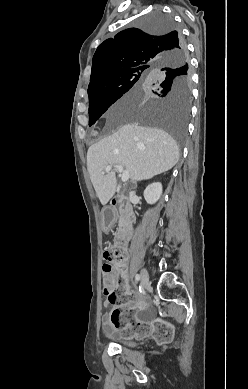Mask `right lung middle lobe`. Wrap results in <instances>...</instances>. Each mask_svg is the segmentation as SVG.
Wrapping results in <instances>:
<instances>
[{
    "instance_id": "1",
    "label": "right lung middle lobe",
    "mask_w": 248,
    "mask_h": 389,
    "mask_svg": "<svg viewBox=\"0 0 248 389\" xmlns=\"http://www.w3.org/2000/svg\"><path fill=\"white\" fill-rule=\"evenodd\" d=\"M143 29L150 33H168L175 29L170 16L154 11L141 20ZM152 93L161 100L157 103L127 105L117 110L119 117L138 120L166 129L179 146L184 143L186 123L191 105V72L188 60L174 56L155 66ZM150 71L131 70L116 76L108 85L89 93V126L93 125L124 93L137 87Z\"/></svg>"
}]
</instances>
